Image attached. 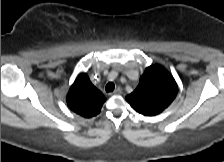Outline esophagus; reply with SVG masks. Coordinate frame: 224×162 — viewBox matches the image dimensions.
<instances>
[{
    "label": "esophagus",
    "mask_w": 224,
    "mask_h": 162,
    "mask_svg": "<svg viewBox=\"0 0 224 162\" xmlns=\"http://www.w3.org/2000/svg\"><path fill=\"white\" fill-rule=\"evenodd\" d=\"M121 93H122L121 88H117L113 92L109 93V95L112 96V95H117V94H121Z\"/></svg>",
    "instance_id": "34e87169"
}]
</instances>
